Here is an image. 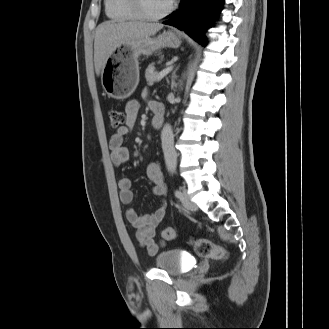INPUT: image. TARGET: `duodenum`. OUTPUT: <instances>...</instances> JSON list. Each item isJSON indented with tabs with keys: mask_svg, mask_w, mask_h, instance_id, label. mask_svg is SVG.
Segmentation results:
<instances>
[{
	"mask_svg": "<svg viewBox=\"0 0 329 329\" xmlns=\"http://www.w3.org/2000/svg\"><path fill=\"white\" fill-rule=\"evenodd\" d=\"M152 109L154 112V115L152 118V126L155 129H158L162 126L163 121H164V109L158 103H155L152 106Z\"/></svg>",
	"mask_w": 329,
	"mask_h": 329,
	"instance_id": "1",
	"label": "duodenum"
}]
</instances>
